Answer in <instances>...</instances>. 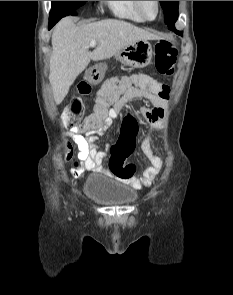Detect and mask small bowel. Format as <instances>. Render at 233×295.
<instances>
[{"label":"small bowel","mask_w":233,"mask_h":295,"mask_svg":"<svg viewBox=\"0 0 233 295\" xmlns=\"http://www.w3.org/2000/svg\"><path fill=\"white\" fill-rule=\"evenodd\" d=\"M136 98H144L151 104V107H141L134 112L147 123L156 124L164 118L167 99L153 93L140 92L134 95H123L114 101V106L108 111L103 123L98 128L86 131L83 127H71L70 134L78 148L77 158L79 160L73 163L71 170V175L74 178H81L86 171L108 173V169L104 166V160L108 156L109 148L106 146L104 150L99 149L97 135L105 133L113 121L120 116L126 105ZM82 131L85 132V136L81 134ZM65 148V157L68 159L72 158V144L67 142ZM146 154L151 162V167L141 177H131L128 179V183L136 189L149 186L160 173L163 166L162 160L153 156L149 150H146Z\"/></svg>","instance_id":"1"}]
</instances>
